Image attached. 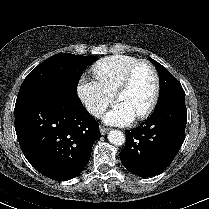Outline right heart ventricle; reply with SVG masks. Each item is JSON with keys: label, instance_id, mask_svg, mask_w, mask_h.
<instances>
[{"label": "right heart ventricle", "instance_id": "right-heart-ventricle-1", "mask_svg": "<svg viewBox=\"0 0 209 209\" xmlns=\"http://www.w3.org/2000/svg\"><path fill=\"white\" fill-rule=\"evenodd\" d=\"M137 62L139 59L134 56L114 55L95 63L92 72L98 81L114 93L127 70Z\"/></svg>", "mask_w": 209, "mask_h": 209}]
</instances>
